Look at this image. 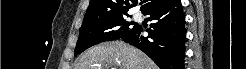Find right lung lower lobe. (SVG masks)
Returning a JSON list of instances; mask_svg holds the SVG:
<instances>
[{
  "label": "right lung lower lobe",
  "mask_w": 246,
  "mask_h": 69,
  "mask_svg": "<svg viewBox=\"0 0 246 69\" xmlns=\"http://www.w3.org/2000/svg\"><path fill=\"white\" fill-rule=\"evenodd\" d=\"M142 13L153 21L150 28L137 25L120 39L142 50L161 69H184L186 30L180 0H164Z\"/></svg>",
  "instance_id": "1"
}]
</instances>
